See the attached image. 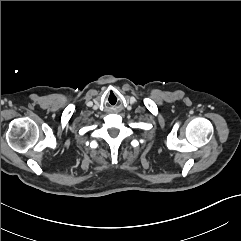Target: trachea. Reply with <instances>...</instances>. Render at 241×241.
<instances>
[{"mask_svg":"<svg viewBox=\"0 0 241 241\" xmlns=\"http://www.w3.org/2000/svg\"><path fill=\"white\" fill-rule=\"evenodd\" d=\"M107 101H108L110 104H115V103L118 101V96H117L115 93H110V94L107 96Z\"/></svg>","mask_w":241,"mask_h":241,"instance_id":"3493384b","label":"trachea"}]
</instances>
